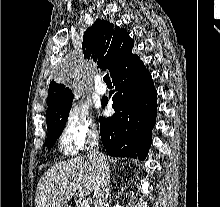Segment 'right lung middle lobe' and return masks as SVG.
<instances>
[{"label":"right lung middle lobe","instance_id":"1","mask_svg":"<svg viewBox=\"0 0 220 207\" xmlns=\"http://www.w3.org/2000/svg\"><path fill=\"white\" fill-rule=\"evenodd\" d=\"M72 98L68 99L57 112L47 118L48 135L45 142L47 147H51L62 134L72 106Z\"/></svg>","mask_w":220,"mask_h":207}]
</instances>
